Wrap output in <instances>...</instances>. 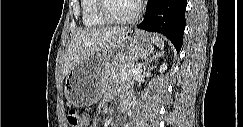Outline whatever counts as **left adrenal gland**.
Wrapping results in <instances>:
<instances>
[{
  "label": "left adrenal gland",
  "mask_w": 243,
  "mask_h": 127,
  "mask_svg": "<svg viewBox=\"0 0 243 127\" xmlns=\"http://www.w3.org/2000/svg\"><path fill=\"white\" fill-rule=\"evenodd\" d=\"M161 54L160 53H157L156 55H153L152 58L146 60L144 66H143V70L145 71L147 69V66L153 61V60H156L158 57H160Z\"/></svg>",
  "instance_id": "1"
}]
</instances>
